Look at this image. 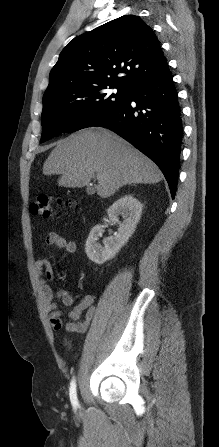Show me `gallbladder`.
<instances>
[{
  "mask_svg": "<svg viewBox=\"0 0 219 447\" xmlns=\"http://www.w3.org/2000/svg\"><path fill=\"white\" fill-rule=\"evenodd\" d=\"M87 193H88L89 195H92V194L95 193V189H94L93 187H89V188H87Z\"/></svg>",
  "mask_w": 219,
  "mask_h": 447,
  "instance_id": "1",
  "label": "gallbladder"
}]
</instances>
